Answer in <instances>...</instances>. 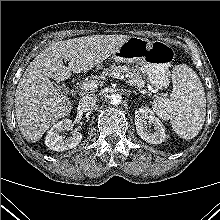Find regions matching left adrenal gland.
I'll use <instances>...</instances> for the list:
<instances>
[{"mask_svg":"<svg viewBox=\"0 0 220 220\" xmlns=\"http://www.w3.org/2000/svg\"><path fill=\"white\" fill-rule=\"evenodd\" d=\"M127 92H128V94H130V93L137 94V92H136V91H134V90H127Z\"/></svg>","mask_w":220,"mask_h":220,"instance_id":"obj_1","label":"left adrenal gland"}]
</instances>
